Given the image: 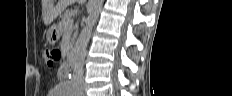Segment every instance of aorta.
<instances>
[{
  "label": "aorta",
  "instance_id": "762f6f07",
  "mask_svg": "<svg viewBox=\"0 0 232 96\" xmlns=\"http://www.w3.org/2000/svg\"><path fill=\"white\" fill-rule=\"evenodd\" d=\"M102 1L103 0L92 1L87 25L82 29L79 38L75 44V47L73 49L72 66L74 71H80L83 67L86 48L91 36L92 28L97 20Z\"/></svg>",
  "mask_w": 232,
  "mask_h": 96
}]
</instances>
